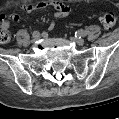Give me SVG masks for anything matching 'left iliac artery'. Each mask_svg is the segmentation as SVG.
Returning <instances> with one entry per match:
<instances>
[{
	"instance_id": "left-iliac-artery-1",
	"label": "left iliac artery",
	"mask_w": 119,
	"mask_h": 119,
	"mask_svg": "<svg viewBox=\"0 0 119 119\" xmlns=\"http://www.w3.org/2000/svg\"><path fill=\"white\" fill-rule=\"evenodd\" d=\"M87 34H88L87 30L80 29L75 32V37L81 38V37H85Z\"/></svg>"
}]
</instances>
